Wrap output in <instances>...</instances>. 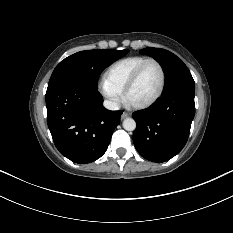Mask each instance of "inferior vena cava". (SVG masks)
<instances>
[{
  "instance_id": "1",
  "label": "inferior vena cava",
  "mask_w": 233,
  "mask_h": 233,
  "mask_svg": "<svg viewBox=\"0 0 233 233\" xmlns=\"http://www.w3.org/2000/svg\"><path fill=\"white\" fill-rule=\"evenodd\" d=\"M104 107L108 110H119V105L115 101L105 100L103 103Z\"/></svg>"
}]
</instances>
